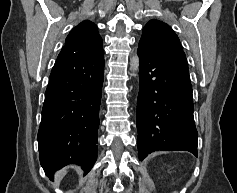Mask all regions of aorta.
I'll list each match as a JSON object with an SVG mask.
<instances>
[{
    "label": "aorta",
    "instance_id": "1",
    "mask_svg": "<svg viewBox=\"0 0 237 193\" xmlns=\"http://www.w3.org/2000/svg\"><path fill=\"white\" fill-rule=\"evenodd\" d=\"M130 64H131V69L133 72V76H137L138 74V70H139V57L138 55H133L131 60H130Z\"/></svg>",
    "mask_w": 237,
    "mask_h": 193
}]
</instances>
